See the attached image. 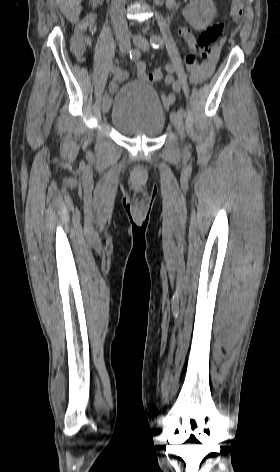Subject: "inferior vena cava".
Wrapping results in <instances>:
<instances>
[{
    "label": "inferior vena cava",
    "mask_w": 280,
    "mask_h": 472,
    "mask_svg": "<svg viewBox=\"0 0 280 472\" xmlns=\"http://www.w3.org/2000/svg\"><path fill=\"white\" fill-rule=\"evenodd\" d=\"M126 0H112L111 3V19L116 32L125 33L127 31V23L124 18V5Z\"/></svg>",
    "instance_id": "602c4592"
}]
</instances>
